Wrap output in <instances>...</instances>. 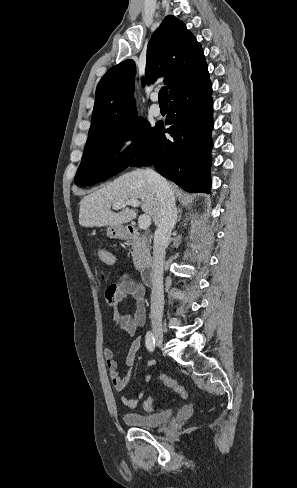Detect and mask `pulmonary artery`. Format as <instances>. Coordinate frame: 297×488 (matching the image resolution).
Wrapping results in <instances>:
<instances>
[{"mask_svg": "<svg viewBox=\"0 0 297 488\" xmlns=\"http://www.w3.org/2000/svg\"><path fill=\"white\" fill-rule=\"evenodd\" d=\"M151 99L153 101H157L158 100V95L157 94H153L151 96ZM150 113L153 115V116H160L161 115V109L158 105L154 104L150 107Z\"/></svg>", "mask_w": 297, "mask_h": 488, "instance_id": "obj_1", "label": "pulmonary artery"}]
</instances>
